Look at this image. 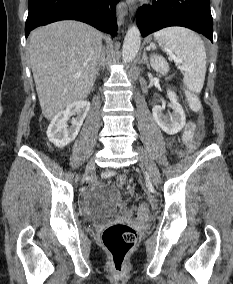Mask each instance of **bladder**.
Wrapping results in <instances>:
<instances>
[{
  "label": "bladder",
  "mask_w": 233,
  "mask_h": 284,
  "mask_svg": "<svg viewBox=\"0 0 233 284\" xmlns=\"http://www.w3.org/2000/svg\"><path fill=\"white\" fill-rule=\"evenodd\" d=\"M118 190L110 185H98L88 195L87 200L98 206L112 204L118 197Z\"/></svg>",
  "instance_id": "31cf9c89"
}]
</instances>
